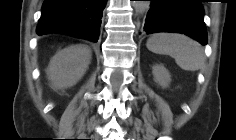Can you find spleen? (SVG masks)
Returning <instances> with one entry per match:
<instances>
[{"label": "spleen", "instance_id": "1", "mask_svg": "<svg viewBox=\"0 0 236 140\" xmlns=\"http://www.w3.org/2000/svg\"><path fill=\"white\" fill-rule=\"evenodd\" d=\"M153 53L173 57L177 65L186 71H197L205 65V54L201 45L182 34L158 33L146 44Z\"/></svg>", "mask_w": 236, "mask_h": 140}]
</instances>
